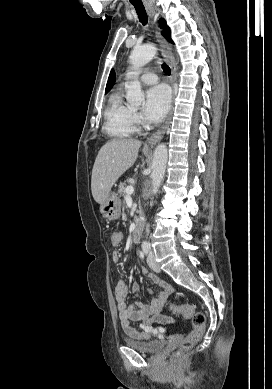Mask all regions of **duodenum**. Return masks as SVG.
<instances>
[{
    "label": "duodenum",
    "instance_id": "410a0bca",
    "mask_svg": "<svg viewBox=\"0 0 272 389\" xmlns=\"http://www.w3.org/2000/svg\"><path fill=\"white\" fill-rule=\"evenodd\" d=\"M142 220L139 216L134 224L133 230H132V239L134 242H139L142 234Z\"/></svg>",
    "mask_w": 272,
    "mask_h": 389
}]
</instances>
